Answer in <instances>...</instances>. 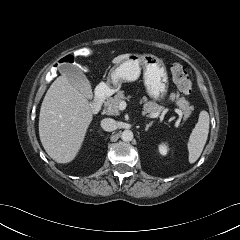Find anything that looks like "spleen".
I'll return each mask as SVG.
<instances>
[{
	"instance_id": "1",
	"label": "spleen",
	"mask_w": 240,
	"mask_h": 240,
	"mask_svg": "<svg viewBox=\"0 0 240 240\" xmlns=\"http://www.w3.org/2000/svg\"><path fill=\"white\" fill-rule=\"evenodd\" d=\"M209 133V114L207 111H201L198 122L196 123L189 137L187 148L189 152V162L195 163L200 157L206 144Z\"/></svg>"
}]
</instances>
